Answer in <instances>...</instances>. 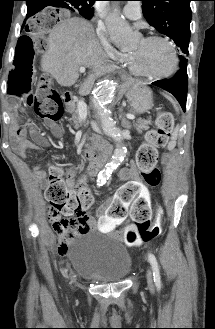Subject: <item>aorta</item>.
Wrapping results in <instances>:
<instances>
[{
	"label": "aorta",
	"instance_id": "obj_1",
	"mask_svg": "<svg viewBox=\"0 0 215 329\" xmlns=\"http://www.w3.org/2000/svg\"><path fill=\"white\" fill-rule=\"evenodd\" d=\"M106 28L115 45L129 48L133 44V31L129 24L122 19L117 11L106 18ZM114 86L110 83L101 84L95 92L92 103L100 117L103 132L114 140L117 148L114 150L111 161L98 174L97 185L102 186L109 179L112 171L124 160L126 147L123 144L121 130L116 127L115 121L108 113V107L114 98Z\"/></svg>",
	"mask_w": 215,
	"mask_h": 329
}]
</instances>
